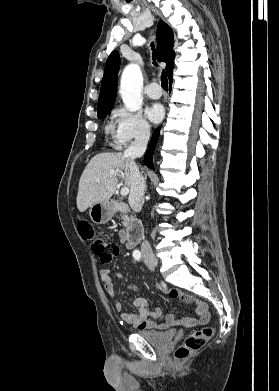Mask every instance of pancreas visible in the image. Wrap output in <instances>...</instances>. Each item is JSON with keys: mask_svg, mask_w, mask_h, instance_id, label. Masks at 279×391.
I'll return each instance as SVG.
<instances>
[{"mask_svg": "<svg viewBox=\"0 0 279 391\" xmlns=\"http://www.w3.org/2000/svg\"><path fill=\"white\" fill-rule=\"evenodd\" d=\"M129 224V220L124 216L123 217V225L127 226Z\"/></svg>", "mask_w": 279, "mask_h": 391, "instance_id": "obj_1", "label": "pancreas"}]
</instances>
